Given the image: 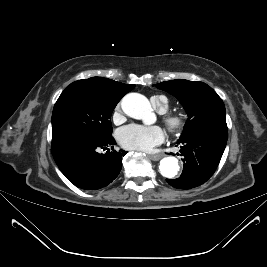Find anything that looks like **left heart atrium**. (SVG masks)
I'll return each mask as SVG.
<instances>
[{
  "label": "left heart atrium",
  "mask_w": 267,
  "mask_h": 267,
  "mask_svg": "<svg viewBox=\"0 0 267 267\" xmlns=\"http://www.w3.org/2000/svg\"><path fill=\"white\" fill-rule=\"evenodd\" d=\"M165 135L159 126L130 124L118 131L120 144L129 150L151 151L164 141Z\"/></svg>",
  "instance_id": "1"
}]
</instances>
